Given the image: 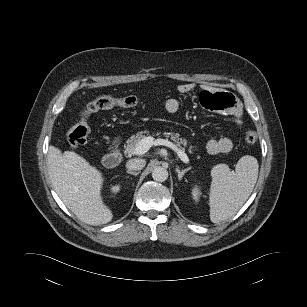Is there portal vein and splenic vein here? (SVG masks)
I'll list each match as a JSON object with an SVG mask.
<instances>
[{"label":"portal vein and splenic vein","instance_id":"18ae733b","mask_svg":"<svg viewBox=\"0 0 307 307\" xmlns=\"http://www.w3.org/2000/svg\"><path fill=\"white\" fill-rule=\"evenodd\" d=\"M153 145L158 146V145H163L170 147L174 152H176L177 156L180 158L181 161L184 163L189 162V158L187 154L176 147L175 144L172 142L166 140V139H154L152 136H148L143 138L141 141L138 142L136 148H135V154L137 155H143L145 154Z\"/></svg>","mask_w":307,"mask_h":307}]
</instances>
